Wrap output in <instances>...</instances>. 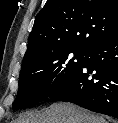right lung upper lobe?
<instances>
[{
	"label": "right lung upper lobe",
	"mask_w": 118,
	"mask_h": 123,
	"mask_svg": "<svg viewBox=\"0 0 118 123\" xmlns=\"http://www.w3.org/2000/svg\"><path fill=\"white\" fill-rule=\"evenodd\" d=\"M118 37V0H48L37 14L23 64L49 51H89Z\"/></svg>",
	"instance_id": "cb5924a9"
}]
</instances>
